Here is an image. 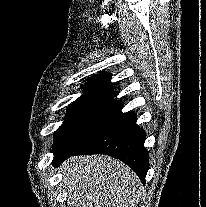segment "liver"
<instances>
[{"label":"liver","mask_w":206,"mask_h":207,"mask_svg":"<svg viewBox=\"0 0 206 207\" xmlns=\"http://www.w3.org/2000/svg\"><path fill=\"white\" fill-rule=\"evenodd\" d=\"M60 169L69 207H135L141 198L138 176L112 157H70Z\"/></svg>","instance_id":"1"}]
</instances>
